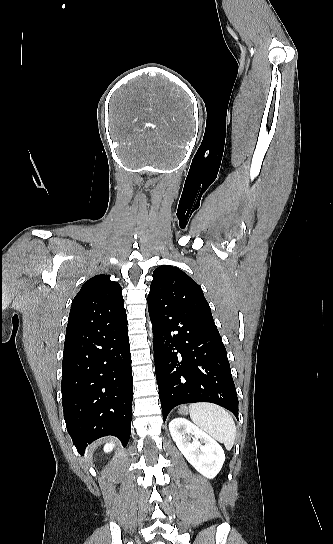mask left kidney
<instances>
[{
    "label": "left kidney",
    "instance_id": "5707ae66",
    "mask_svg": "<svg viewBox=\"0 0 333 544\" xmlns=\"http://www.w3.org/2000/svg\"><path fill=\"white\" fill-rule=\"evenodd\" d=\"M169 430L178 449L199 473L209 479L219 473L225 454L215 439L184 418L173 419Z\"/></svg>",
    "mask_w": 333,
    "mask_h": 544
}]
</instances>
